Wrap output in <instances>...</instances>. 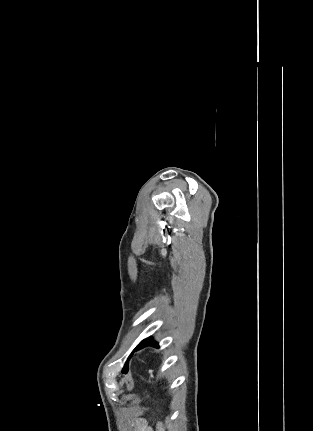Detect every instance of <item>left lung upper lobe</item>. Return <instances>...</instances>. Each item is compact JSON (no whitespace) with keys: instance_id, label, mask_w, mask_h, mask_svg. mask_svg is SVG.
<instances>
[{"instance_id":"1","label":"left lung upper lobe","mask_w":313,"mask_h":431,"mask_svg":"<svg viewBox=\"0 0 313 431\" xmlns=\"http://www.w3.org/2000/svg\"><path fill=\"white\" fill-rule=\"evenodd\" d=\"M127 370H128V364H127V362H126V364L124 365V368H123V372H127Z\"/></svg>"}]
</instances>
